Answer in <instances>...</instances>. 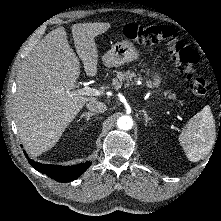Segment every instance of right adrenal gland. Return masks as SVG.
Here are the masks:
<instances>
[{"label":"right adrenal gland","mask_w":221,"mask_h":221,"mask_svg":"<svg viewBox=\"0 0 221 221\" xmlns=\"http://www.w3.org/2000/svg\"><path fill=\"white\" fill-rule=\"evenodd\" d=\"M93 115H95V113H92V112H84V113L81 115L80 119L83 118V117H86V120H87V122H88V121L90 120V117L93 116Z\"/></svg>","instance_id":"right-adrenal-gland-1"}]
</instances>
